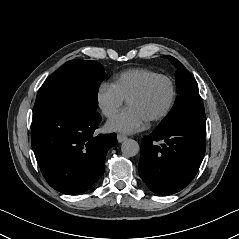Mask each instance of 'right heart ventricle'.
<instances>
[{
	"label": "right heart ventricle",
	"instance_id": "right-heart-ventricle-1",
	"mask_svg": "<svg viewBox=\"0 0 239 239\" xmlns=\"http://www.w3.org/2000/svg\"><path fill=\"white\" fill-rule=\"evenodd\" d=\"M159 75L157 72L144 69L134 68L122 72L114 81V86L123 99L137 91L147 80Z\"/></svg>",
	"mask_w": 239,
	"mask_h": 239
}]
</instances>
